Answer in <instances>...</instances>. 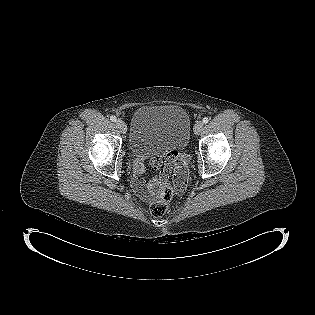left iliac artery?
I'll use <instances>...</instances> for the list:
<instances>
[{"label": "left iliac artery", "mask_w": 315, "mask_h": 315, "mask_svg": "<svg viewBox=\"0 0 315 315\" xmlns=\"http://www.w3.org/2000/svg\"><path fill=\"white\" fill-rule=\"evenodd\" d=\"M202 121H203L204 124H207L209 122V118L208 117H204Z\"/></svg>", "instance_id": "1"}]
</instances>
